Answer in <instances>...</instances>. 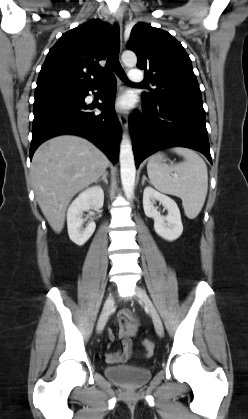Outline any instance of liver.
Segmentation results:
<instances>
[{"label":"liver","mask_w":248,"mask_h":419,"mask_svg":"<svg viewBox=\"0 0 248 419\" xmlns=\"http://www.w3.org/2000/svg\"><path fill=\"white\" fill-rule=\"evenodd\" d=\"M108 165L107 156L79 136L52 138L35 151L30 170L35 197L56 233L64 227L71 199L96 182Z\"/></svg>","instance_id":"obj_1"}]
</instances>
